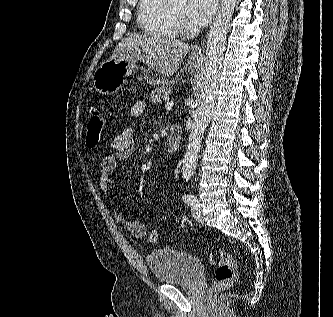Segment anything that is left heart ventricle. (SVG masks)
Returning a JSON list of instances; mask_svg holds the SVG:
<instances>
[{"label": "left heart ventricle", "mask_w": 333, "mask_h": 317, "mask_svg": "<svg viewBox=\"0 0 333 317\" xmlns=\"http://www.w3.org/2000/svg\"><path fill=\"white\" fill-rule=\"evenodd\" d=\"M170 4L173 11L184 20L185 0H171Z\"/></svg>", "instance_id": "b2bd125f"}]
</instances>
